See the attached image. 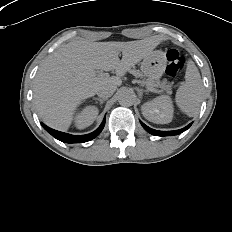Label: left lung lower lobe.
Returning <instances> with one entry per match:
<instances>
[{
  "instance_id": "0a47b994",
  "label": "left lung lower lobe",
  "mask_w": 232,
  "mask_h": 232,
  "mask_svg": "<svg viewBox=\"0 0 232 232\" xmlns=\"http://www.w3.org/2000/svg\"><path fill=\"white\" fill-rule=\"evenodd\" d=\"M141 122V121H140ZM141 124L143 125V127L151 134H154V135H176V134H179V133H182L183 131H185L186 129H188L192 123H190L188 126H186L185 128L183 129H180V130H175V131H158V130H155V129H152L150 127H148L147 125H145L143 122H141Z\"/></svg>"
}]
</instances>
